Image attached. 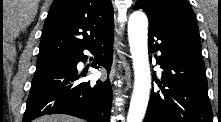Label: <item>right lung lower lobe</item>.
<instances>
[{"mask_svg": "<svg viewBox=\"0 0 221 122\" xmlns=\"http://www.w3.org/2000/svg\"><path fill=\"white\" fill-rule=\"evenodd\" d=\"M96 58L94 68L103 66L109 72L113 59V32L85 48ZM84 49V50H85ZM63 63L35 72L23 122L45 114H68L88 122H110L112 89L109 78L96 84L78 82L77 64L85 62L83 51Z\"/></svg>", "mask_w": 221, "mask_h": 122, "instance_id": "98d812e1", "label": "right lung lower lobe"}]
</instances>
